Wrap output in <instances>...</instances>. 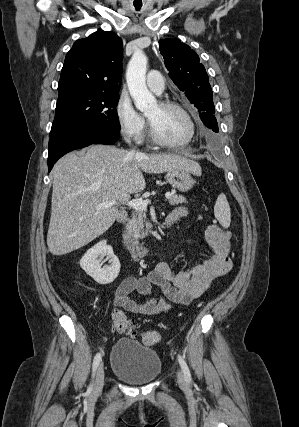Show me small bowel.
<instances>
[{
  "label": "small bowel",
  "mask_w": 299,
  "mask_h": 427,
  "mask_svg": "<svg viewBox=\"0 0 299 427\" xmlns=\"http://www.w3.org/2000/svg\"><path fill=\"white\" fill-rule=\"evenodd\" d=\"M188 211L175 209L169 217L177 221ZM231 233L216 224L206 228V239L212 249V255L202 260L189 271L175 272L167 263L157 266L140 277H128L118 287L113 305L129 312L142 315L167 313L176 305H186L202 296L210 283L224 275L231 268L228 258ZM152 285L161 289L158 298L151 293ZM138 292L144 300L138 302L131 297Z\"/></svg>",
  "instance_id": "1"
}]
</instances>
